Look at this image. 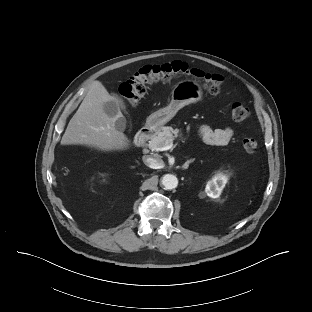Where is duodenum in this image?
<instances>
[{
  "instance_id": "duodenum-1",
  "label": "duodenum",
  "mask_w": 312,
  "mask_h": 312,
  "mask_svg": "<svg viewBox=\"0 0 312 312\" xmlns=\"http://www.w3.org/2000/svg\"><path fill=\"white\" fill-rule=\"evenodd\" d=\"M154 133L155 127L152 125L142 128L134 137V145L136 147L143 146Z\"/></svg>"
}]
</instances>
